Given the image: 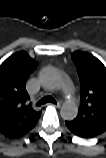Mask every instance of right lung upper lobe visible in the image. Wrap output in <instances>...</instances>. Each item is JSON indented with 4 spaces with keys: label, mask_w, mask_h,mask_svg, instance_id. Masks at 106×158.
Returning <instances> with one entry per match:
<instances>
[{
    "label": "right lung upper lobe",
    "mask_w": 106,
    "mask_h": 158,
    "mask_svg": "<svg viewBox=\"0 0 106 158\" xmlns=\"http://www.w3.org/2000/svg\"><path fill=\"white\" fill-rule=\"evenodd\" d=\"M36 66L25 51H19L0 65V134L18 138L38 122L40 111L29 104L26 81Z\"/></svg>",
    "instance_id": "obj_1"
}]
</instances>
